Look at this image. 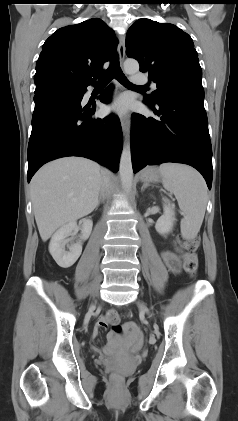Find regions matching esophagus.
Instances as JSON below:
<instances>
[{
  "label": "esophagus",
  "mask_w": 238,
  "mask_h": 421,
  "mask_svg": "<svg viewBox=\"0 0 238 421\" xmlns=\"http://www.w3.org/2000/svg\"><path fill=\"white\" fill-rule=\"evenodd\" d=\"M118 55H119V60L122 63L124 61L125 58V36L124 35H119L118 36ZM121 126H122V130L124 133V136L127 138L130 132V122L129 119L127 117H122L121 118Z\"/></svg>",
  "instance_id": "34e87169"
}]
</instances>
